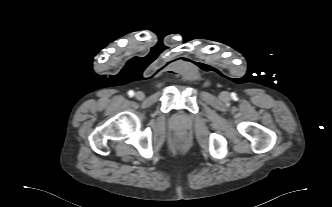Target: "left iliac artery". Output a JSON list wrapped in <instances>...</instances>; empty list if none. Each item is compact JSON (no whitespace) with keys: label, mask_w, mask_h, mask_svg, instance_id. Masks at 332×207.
<instances>
[{"label":"left iliac artery","mask_w":332,"mask_h":207,"mask_svg":"<svg viewBox=\"0 0 332 207\" xmlns=\"http://www.w3.org/2000/svg\"><path fill=\"white\" fill-rule=\"evenodd\" d=\"M232 97L235 98V94L234 93H232Z\"/></svg>","instance_id":"left-iliac-artery-1"}]
</instances>
